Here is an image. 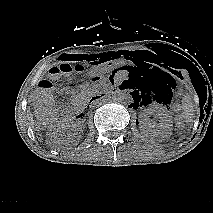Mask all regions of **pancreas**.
<instances>
[{
	"instance_id": "cf45deb5",
	"label": "pancreas",
	"mask_w": 213,
	"mask_h": 213,
	"mask_svg": "<svg viewBox=\"0 0 213 213\" xmlns=\"http://www.w3.org/2000/svg\"><path fill=\"white\" fill-rule=\"evenodd\" d=\"M82 94L84 95L85 99L88 98V97H90V95H89V88L87 89V87H84V90L82 91Z\"/></svg>"
}]
</instances>
